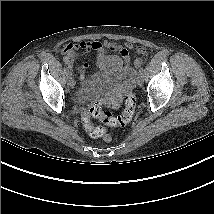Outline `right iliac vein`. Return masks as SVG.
Listing matches in <instances>:
<instances>
[{"label":"right iliac vein","instance_id":"obj_1","mask_svg":"<svg viewBox=\"0 0 214 214\" xmlns=\"http://www.w3.org/2000/svg\"><path fill=\"white\" fill-rule=\"evenodd\" d=\"M69 85H70L71 87H73V86L75 85L74 79L70 78Z\"/></svg>","mask_w":214,"mask_h":214}]
</instances>
